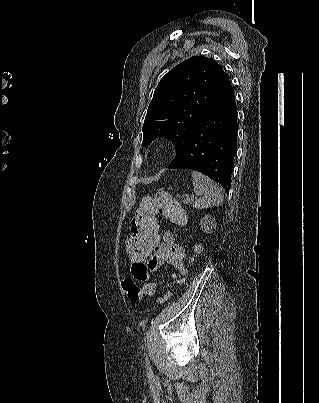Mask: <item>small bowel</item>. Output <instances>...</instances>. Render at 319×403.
<instances>
[{
    "label": "small bowel",
    "mask_w": 319,
    "mask_h": 403,
    "mask_svg": "<svg viewBox=\"0 0 319 403\" xmlns=\"http://www.w3.org/2000/svg\"><path fill=\"white\" fill-rule=\"evenodd\" d=\"M169 236V237H168ZM186 253L182 246L175 242L170 231H165L159 239L158 247H154L152 258L149 263L145 259H138L136 264L129 265V281L131 283H143L151 272L158 270L164 263H169L179 271L176 280L182 282L187 275L185 266ZM170 297V293L158 298V303L165 302Z\"/></svg>",
    "instance_id": "1"
}]
</instances>
